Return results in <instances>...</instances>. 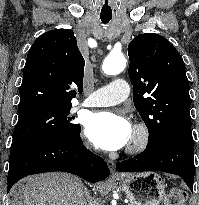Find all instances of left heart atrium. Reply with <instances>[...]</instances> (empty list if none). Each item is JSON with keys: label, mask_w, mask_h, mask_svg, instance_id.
Wrapping results in <instances>:
<instances>
[{"label": "left heart atrium", "mask_w": 199, "mask_h": 205, "mask_svg": "<svg viewBox=\"0 0 199 205\" xmlns=\"http://www.w3.org/2000/svg\"><path fill=\"white\" fill-rule=\"evenodd\" d=\"M85 134L97 147L114 151L125 146L132 138V127L127 118L111 112L92 114Z\"/></svg>", "instance_id": "left-heart-atrium-1"}]
</instances>
